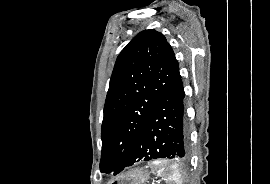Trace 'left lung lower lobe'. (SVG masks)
Instances as JSON below:
<instances>
[{
	"mask_svg": "<svg viewBox=\"0 0 270 184\" xmlns=\"http://www.w3.org/2000/svg\"><path fill=\"white\" fill-rule=\"evenodd\" d=\"M160 158L179 161L189 158V128L179 70L160 97L123 169L139 161Z\"/></svg>",
	"mask_w": 270,
	"mask_h": 184,
	"instance_id": "0a47b994",
	"label": "left lung lower lobe"
}]
</instances>
